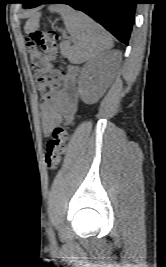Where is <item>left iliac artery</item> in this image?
I'll use <instances>...</instances> for the list:
<instances>
[{
    "mask_svg": "<svg viewBox=\"0 0 166 267\" xmlns=\"http://www.w3.org/2000/svg\"><path fill=\"white\" fill-rule=\"evenodd\" d=\"M50 236H51V240H53L54 241V234H53V232H52V230L50 229Z\"/></svg>",
    "mask_w": 166,
    "mask_h": 267,
    "instance_id": "1",
    "label": "left iliac artery"
}]
</instances>
